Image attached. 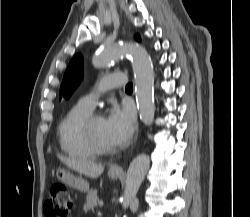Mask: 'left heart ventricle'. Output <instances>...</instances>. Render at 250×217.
I'll use <instances>...</instances> for the list:
<instances>
[{"label": "left heart ventricle", "instance_id": "b2bd125f", "mask_svg": "<svg viewBox=\"0 0 250 217\" xmlns=\"http://www.w3.org/2000/svg\"><path fill=\"white\" fill-rule=\"evenodd\" d=\"M93 128L96 137L102 144L110 147H114L116 145L109 135L106 119L103 116H100L95 120Z\"/></svg>", "mask_w": 250, "mask_h": 217}]
</instances>
